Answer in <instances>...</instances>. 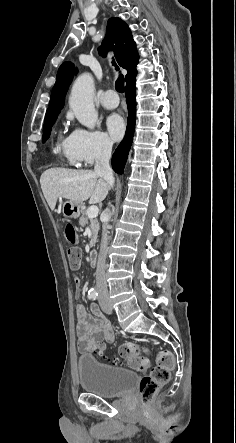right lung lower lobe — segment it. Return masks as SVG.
<instances>
[{"instance_id":"1","label":"right lung lower lobe","mask_w":236,"mask_h":443,"mask_svg":"<svg viewBox=\"0 0 236 443\" xmlns=\"http://www.w3.org/2000/svg\"><path fill=\"white\" fill-rule=\"evenodd\" d=\"M136 71L126 77V102L128 105V124L124 140L117 147L112 156V167L115 172L122 174L127 160V156L133 141L135 118H136V88H135Z\"/></svg>"}]
</instances>
